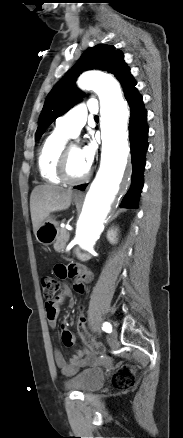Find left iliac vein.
Listing matches in <instances>:
<instances>
[{
    "label": "left iliac vein",
    "instance_id": "left-iliac-vein-1",
    "mask_svg": "<svg viewBox=\"0 0 183 438\" xmlns=\"http://www.w3.org/2000/svg\"><path fill=\"white\" fill-rule=\"evenodd\" d=\"M117 339V332L115 329H113L112 333L110 334V341L112 344L116 342Z\"/></svg>",
    "mask_w": 183,
    "mask_h": 438
}]
</instances>
